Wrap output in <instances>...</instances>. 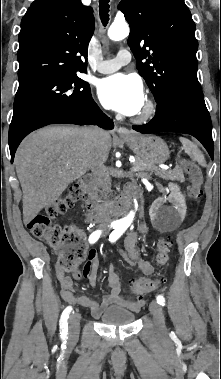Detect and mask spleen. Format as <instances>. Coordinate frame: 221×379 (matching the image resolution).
Here are the masks:
<instances>
[{"instance_id": "3e777b00", "label": "spleen", "mask_w": 221, "mask_h": 379, "mask_svg": "<svg viewBox=\"0 0 221 379\" xmlns=\"http://www.w3.org/2000/svg\"><path fill=\"white\" fill-rule=\"evenodd\" d=\"M180 142L182 143L185 152L192 160L198 162L201 166L206 167V161L203 154L193 142L183 137L180 138Z\"/></svg>"}]
</instances>
